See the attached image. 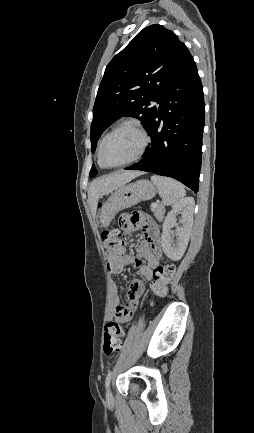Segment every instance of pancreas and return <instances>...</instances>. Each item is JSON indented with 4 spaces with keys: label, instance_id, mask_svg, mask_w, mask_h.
Returning a JSON list of instances; mask_svg holds the SVG:
<instances>
[{
    "label": "pancreas",
    "instance_id": "obj_1",
    "mask_svg": "<svg viewBox=\"0 0 254 433\" xmlns=\"http://www.w3.org/2000/svg\"><path fill=\"white\" fill-rule=\"evenodd\" d=\"M151 210L154 213V216L156 217V219L158 220H162L164 213H165V208L162 204H157L156 206H151Z\"/></svg>",
    "mask_w": 254,
    "mask_h": 433
}]
</instances>
